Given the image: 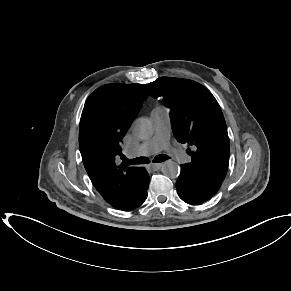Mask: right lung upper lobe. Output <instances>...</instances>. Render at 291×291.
Returning <instances> with one entry per match:
<instances>
[{
    "instance_id": "cb5924a9",
    "label": "right lung upper lobe",
    "mask_w": 291,
    "mask_h": 291,
    "mask_svg": "<svg viewBox=\"0 0 291 291\" xmlns=\"http://www.w3.org/2000/svg\"><path fill=\"white\" fill-rule=\"evenodd\" d=\"M145 84H106L86 100L79 129L84 167L98 192L113 207L128 200L136 167L115 163L123 156L120 142L137 115Z\"/></svg>"
}]
</instances>
